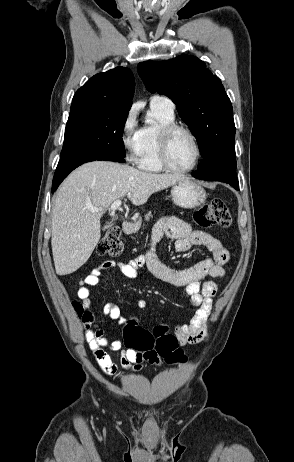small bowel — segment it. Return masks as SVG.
<instances>
[{
    "mask_svg": "<svg viewBox=\"0 0 294 462\" xmlns=\"http://www.w3.org/2000/svg\"><path fill=\"white\" fill-rule=\"evenodd\" d=\"M163 236L175 240L177 252H186L192 246H204L211 256L185 269L171 268L162 263L155 254L154 246ZM228 259V251L216 237L204 231L193 230L187 222L168 216L155 225L152 232V247L146 254L138 255L127 263L106 261L80 280L77 296L83 306L81 315L85 327L84 336L101 370L111 376L117 373L118 367L107 350L120 352V365L131 374L139 373L144 363L148 362L143 352L131 348L125 349L120 339L109 340L105 335L104 327L96 324V316L90 310V288L99 284L103 272L118 268L125 277L135 278L138 270L146 265L161 281L183 288L189 304L196 308L189 323L177 324L174 328L179 344L184 346L198 343L206 337L207 320L212 309L213 297L217 292V284L213 279L224 276L223 266ZM138 305L143 309L146 307V302L140 300ZM103 314L120 325L126 323L120 308L114 303L105 304Z\"/></svg>",
    "mask_w": 294,
    "mask_h": 462,
    "instance_id": "1",
    "label": "small bowel"
}]
</instances>
